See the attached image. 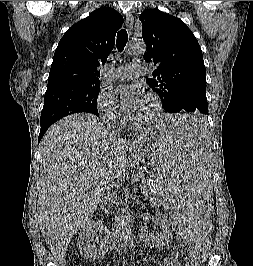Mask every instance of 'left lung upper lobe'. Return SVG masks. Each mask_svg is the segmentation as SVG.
Instances as JSON below:
<instances>
[{"instance_id":"5c2ea615","label":"left lung upper lobe","mask_w":253,"mask_h":266,"mask_svg":"<svg viewBox=\"0 0 253 266\" xmlns=\"http://www.w3.org/2000/svg\"><path fill=\"white\" fill-rule=\"evenodd\" d=\"M144 59L157 69L149 86L159 95L165 112H180L191 103L199 109L193 119L205 120L208 113L206 69L200 45L191 30L179 19L158 9L141 13Z\"/></svg>"}]
</instances>
